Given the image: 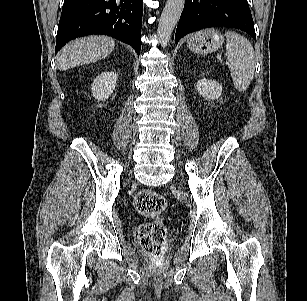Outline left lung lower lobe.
<instances>
[{
    "label": "left lung lower lobe",
    "instance_id": "1",
    "mask_svg": "<svg viewBox=\"0 0 307 301\" xmlns=\"http://www.w3.org/2000/svg\"><path fill=\"white\" fill-rule=\"evenodd\" d=\"M207 27H232L249 33L255 29L247 0H185L175 42L186 34Z\"/></svg>",
    "mask_w": 307,
    "mask_h": 301
}]
</instances>
